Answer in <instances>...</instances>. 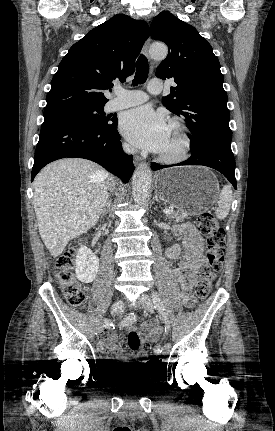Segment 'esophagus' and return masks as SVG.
<instances>
[{
	"instance_id": "34e87169",
	"label": "esophagus",
	"mask_w": 275,
	"mask_h": 431,
	"mask_svg": "<svg viewBox=\"0 0 275 431\" xmlns=\"http://www.w3.org/2000/svg\"><path fill=\"white\" fill-rule=\"evenodd\" d=\"M149 48H150V37L145 41L143 46V52L148 58H150ZM140 162H142V158L140 156H134V164L138 165Z\"/></svg>"
}]
</instances>
